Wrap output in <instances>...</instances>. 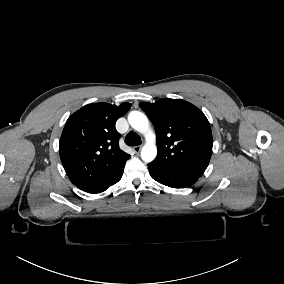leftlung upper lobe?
Returning <instances> with one entry per match:
<instances>
[{
  "instance_id": "left-lung-upper-lobe-1",
  "label": "left lung upper lobe",
  "mask_w": 284,
  "mask_h": 284,
  "mask_svg": "<svg viewBox=\"0 0 284 284\" xmlns=\"http://www.w3.org/2000/svg\"><path fill=\"white\" fill-rule=\"evenodd\" d=\"M140 107L156 131L158 155L151 163L200 177L209 164L213 146L211 127L204 113L182 99L141 102Z\"/></svg>"
}]
</instances>
